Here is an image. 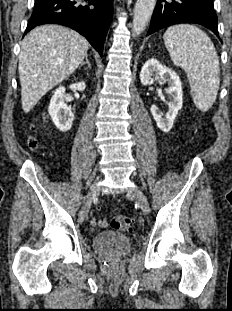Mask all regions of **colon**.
Wrapping results in <instances>:
<instances>
[{"label":"colon","instance_id":"obj_1","mask_svg":"<svg viewBox=\"0 0 232 311\" xmlns=\"http://www.w3.org/2000/svg\"><path fill=\"white\" fill-rule=\"evenodd\" d=\"M28 145L32 149L36 148L38 146L37 139L35 137H30ZM110 225L116 230L129 232L133 228V221L125 215H114L111 218Z\"/></svg>","mask_w":232,"mask_h":311}]
</instances>
